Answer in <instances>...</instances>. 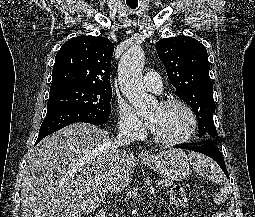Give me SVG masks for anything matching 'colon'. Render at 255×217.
<instances>
[{"label": "colon", "instance_id": "colon-1", "mask_svg": "<svg viewBox=\"0 0 255 217\" xmlns=\"http://www.w3.org/2000/svg\"><path fill=\"white\" fill-rule=\"evenodd\" d=\"M171 202L177 208H189L191 199L188 194L179 186L173 187L171 191Z\"/></svg>", "mask_w": 255, "mask_h": 217}]
</instances>
